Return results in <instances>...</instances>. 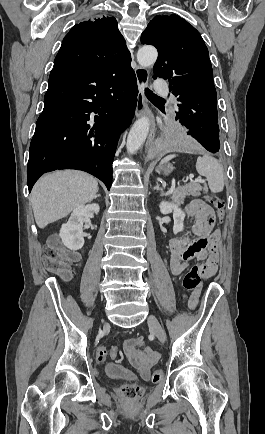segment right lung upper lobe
<instances>
[{
  "label": "right lung upper lobe",
  "mask_w": 265,
  "mask_h": 434,
  "mask_svg": "<svg viewBox=\"0 0 265 434\" xmlns=\"http://www.w3.org/2000/svg\"><path fill=\"white\" fill-rule=\"evenodd\" d=\"M131 59L114 17L89 18L65 36L54 68H98L115 60Z\"/></svg>",
  "instance_id": "obj_1"
}]
</instances>
